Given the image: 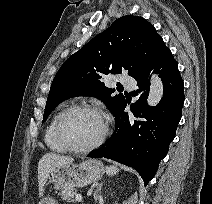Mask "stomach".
<instances>
[{"mask_svg":"<svg viewBox=\"0 0 212 204\" xmlns=\"http://www.w3.org/2000/svg\"><path fill=\"white\" fill-rule=\"evenodd\" d=\"M105 172L103 163L86 160L80 164H66L54 168L48 178L57 189L84 187L101 179ZM39 204H58L53 198L45 197Z\"/></svg>","mask_w":212,"mask_h":204,"instance_id":"0dacf381","label":"stomach"}]
</instances>
